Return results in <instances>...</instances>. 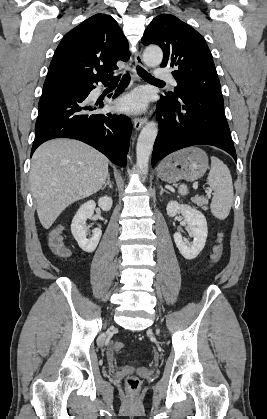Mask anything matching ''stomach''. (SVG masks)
I'll return each mask as SVG.
<instances>
[{"label": "stomach", "instance_id": "0dacf381", "mask_svg": "<svg viewBox=\"0 0 267 419\" xmlns=\"http://www.w3.org/2000/svg\"><path fill=\"white\" fill-rule=\"evenodd\" d=\"M208 156L198 147L182 149L168 156L160 165V178L168 183L195 181L208 169Z\"/></svg>", "mask_w": 267, "mask_h": 419}]
</instances>
